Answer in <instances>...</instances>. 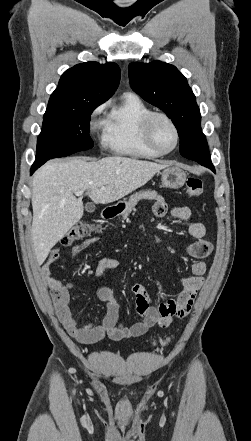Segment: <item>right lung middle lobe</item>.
<instances>
[{
	"instance_id": "right-lung-middle-lobe-1",
	"label": "right lung middle lobe",
	"mask_w": 251,
	"mask_h": 441,
	"mask_svg": "<svg viewBox=\"0 0 251 441\" xmlns=\"http://www.w3.org/2000/svg\"><path fill=\"white\" fill-rule=\"evenodd\" d=\"M106 99L87 98L72 106H49L37 141L36 159L65 157L94 146L90 116Z\"/></svg>"
}]
</instances>
